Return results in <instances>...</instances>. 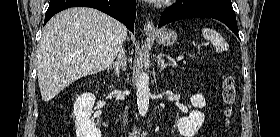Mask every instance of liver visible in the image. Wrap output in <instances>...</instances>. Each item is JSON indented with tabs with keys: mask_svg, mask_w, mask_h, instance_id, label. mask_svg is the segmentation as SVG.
Instances as JSON below:
<instances>
[{
	"mask_svg": "<svg viewBox=\"0 0 280 137\" xmlns=\"http://www.w3.org/2000/svg\"><path fill=\"white\" fill-rule=\"evenodd\" d=\"M125 27L89 7H73L52 17L37 50L42 100L53 99L81 77L105 70L121 50Z\"/></svg>",
	"mask_w": 280,
	"mask_h": 137,
	"instance_id": "6515ba94",
	"label": "liver"
}]
</instances>
